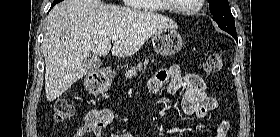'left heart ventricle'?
Wrapping results in <instances>:
<instances>
[{
  "label": "left heart ventricle",
  "instance_id": "left-heart-ventricle-1",
  "mask_svg": "<svg viewBox=\"0 0 280 137\" xmlns=\"http://www.w3.org/2000/svg\"><path fill=\"white\" fill-rule=\"evenodd\" d=\"M197 0H176V5L179 7H189L197 4Z\"/></svg>",
  "mask_w": 280,
  "mask_h": 137
}]
</instances>
